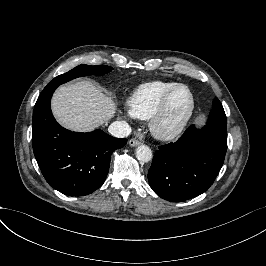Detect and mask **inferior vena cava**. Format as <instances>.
<instances>
[{
    "label": "inferior vena cava",
    "mask_w": 266,
    "mask_h": 266,
    "mask_svg": "<svg viewBox=\"0 0 266 266\" xmlns=\"http://www.w3.org/2000/svg\"><path fill=\"white\" fill-rule=\"evenodd\" d=\"M109 133L116 138H125L132 132L131 128L126 122L115 121L109 125Z\"/></svg>",
    "instance_id": "inferior-vena-cava-1"
}]
</instances>
